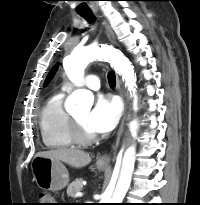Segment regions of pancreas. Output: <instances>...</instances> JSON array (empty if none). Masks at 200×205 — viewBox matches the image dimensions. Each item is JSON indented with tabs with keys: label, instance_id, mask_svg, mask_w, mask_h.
Segmentation results:
<instances>
[{
	"label": "pancreas",
	"instance_id": "pancreas-1",
	"mask_svg": "<svg viewBox=\"0 0 200 205\" xmlns=\"http://www.w3.org/2000/svg\"><path fill=\"white\" fill-rule=\"evenodd\" d=\"M83 179L82 178H76L75 181L69 184L67 188V195L69 197H75V194L77 192H80L83 189Z\"/></svg>",
	"mask_w": 200,
	"mask_h": 205
}]
</instances>
